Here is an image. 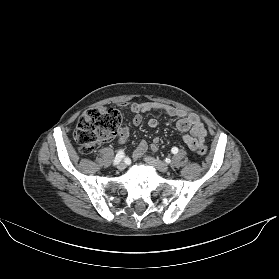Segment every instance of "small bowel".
Returning <instances> with one entry per match:
<instances>
[{
    "instance_id": "obj_1",
    "label": "small bowel",
    "mask_w": 279,
    "mask_h": 279,
    "mask_svg": "<svg viewBox=\"0 0 279 279\" xmlns=\"http://www.w3.org/2000/svg\"><path fill=\"white\" fill-rule=\"evenodd\" d=\"M121 106H127L129 111L134 115V125H140L142 123V114L150 111H161L168 117L177 118L176 127L179 131L184 133L181 136L183 142L193 151H196L198 147L205 146L207 131L201 119L195 114H189L184 110L159 102H131L123 103ZM158 123V119L154 117L148 120V126L150 128H156ZM128 137L129 128L123 127L119 132V143H126ZM158 144L159 139L155 138L151 144V148L155 151ZM146 149L147 143L141 141L134 152V158H140L145 153Z\"/></svg>"
}]
</instances>
